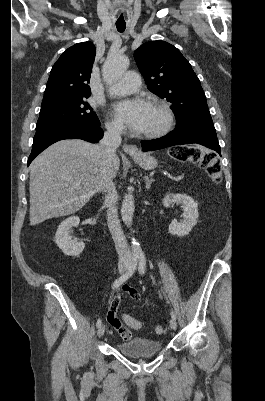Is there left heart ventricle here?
Returning <instances> with one entry per match:
<instances>
[{
    "mask_svg": "<svg viewBox=\"0 0 265 401\" xmlns=\"http://www.w3.org/2000/svg\"><path fill=\"white\" fill-rule=\"evenodd\" d=\"M162 120V114L160 110L150 105L149 112L146 117L145 124L141 129L142 132H149L156 129Z\"/></svg>",
    "mask_w": 265,
    "mask_h": 401,
    "instance_id": "left-heart-ventricle-1",
    "label": "left heart ventricle"
}]
</instances>
